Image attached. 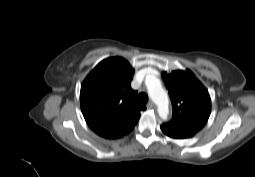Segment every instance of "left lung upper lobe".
I'll list each match as a JSON object with an SVG mask.
<instances>
[{"label": "left lung upper lobe", "instance_id": "left-lung-upper-lobe-1", "mask_svg": "<svg viewBox=\"0 0 255 177\" xmlns=\"http://www.w3.org/2000/svg\"><path fill=\"white\" fill-rule=\"evenodd\" d=\"M173 107L170 122L161 125L169 137L185 139L194 136L207 123L211 113V99L207 89L186 70L162 74Z\"/></svg>", "mask_w": 255, "mask_h": 177}]
</instances>
